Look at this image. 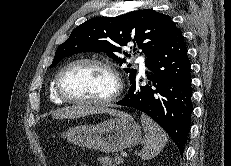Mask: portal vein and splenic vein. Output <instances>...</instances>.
I'll return each mask as SVG.
<instances>
[{
    "label": "portal vein and splenic vein",
    "instance_id": "1",
    "mask_svg": "<svg viewBox=\"0 0 231 166\" xmlns=\"http://www.w3.org/2000/svg\"><path fill=\"white\" fill-rule=\"evenodd\" d=\"M125 154H123L122 156H124ZM119 159H122V157L120 156V157H118Z\"/></svg>",
    "mask_w": 231,
    "mask_h": 166
}]
</instances>
